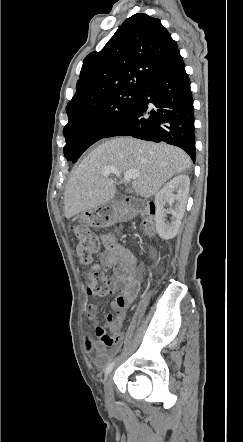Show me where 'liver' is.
I'll use <instances>...</instances> for the list:
<instances>
[{
    "label": "liver",
    "mask_w": 243,
    "mask_h": 442,
    "mask_svg": "<svg viewBox=\"0 0 243 442\" xmlns=\"http://www.w3.org/2000/svg\"><path fill=\"white\" fill-rule=\"evenodd\" d=\"M108 166L120 172L138 171L132 187L141 197L150 198L171 177L189 169L191 160L180 148L165 143L132 137L108 140L87 155L70 175L64 193L67 219L103 206L114 197V180L102 175Z\"/></svg>",
    "instance_id": "1"
}]
</instances>
